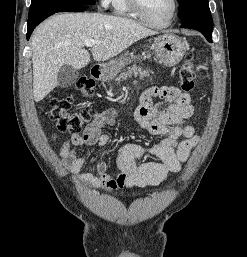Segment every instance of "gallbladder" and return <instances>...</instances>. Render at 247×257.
Instances as JSON below:
<instances>
[{"instance_id":"bac80fb5","label":"gallbladder","mask_w":247,"mask_h":257,"mask_svg":"<svg viewBox=\"0 0 247 257\" xmlns=\"http://www.w3.org/2000/svg\"><path fill=\"white\" fill-rule=\"evenodd\" d=\"M79 77V71L70 65H63L58 72V86L68 88L73 85Z\"/></svg>"}]
</instances>
